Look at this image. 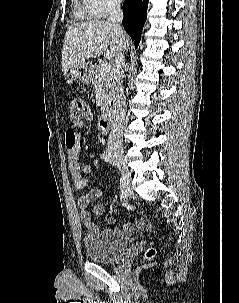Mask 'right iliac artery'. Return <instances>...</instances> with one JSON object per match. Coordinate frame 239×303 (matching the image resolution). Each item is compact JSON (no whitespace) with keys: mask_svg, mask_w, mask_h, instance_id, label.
I'll return each instance as SVG.
<instances>
[{"mask_svg":"<svg viewBox=\"0 0 239 303\" xmlns=\"http://www.w3.org/2000/svg\"><path fill=\"white\" fill-rule=\"evenodd\" d=\"M101 158L105 161L108 162L110 159V155L107 152H103L101 155ZM121 176L119 178V184H120V192H121V198H125L127 196V191H128V186L126 184V179L124 178V176H126V171H121Z\"/></svg>","mask_w":239,"mask_h":303,"instance_id":"1","label":"right iliac artery"}]
</instances>
